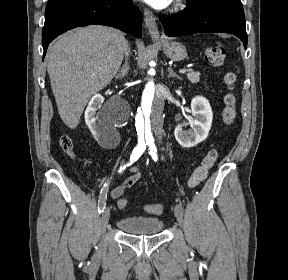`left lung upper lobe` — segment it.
Returning <instances> with one entry per match:
<instances>
[{
    "instance_id": "1",
    "label": "left lung upper lobe",
    "mask_w": 288,
    "mask_h": 280,
    "mask_svg": "<svg viewBox=\"0 0 288 280\" xmlns=\"http://www.w3.org/2000/svg\"><path fill=\"white\" fill-rule=\"evenodd\" d=\"M205 2L217 8L225 9L235 13L240 17H244V10L240 0H188L187 5H199Z\"/></svg>"
}]
</instances>
